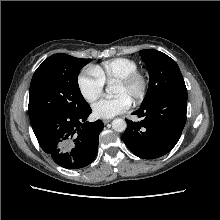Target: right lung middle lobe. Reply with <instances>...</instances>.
<instances>
[{
    "instance_id": "right-lung-middle-lobe-1",
    "label": "right lung middle lobe",
    "mask_w": 220,
    "mask_h": 220,
    "mask_svg": "<svg viewBox=\"0 0 220 220\" xmlns=\"http://www.w3.org/2000/svg\"><path fill=\"white\" fill-rule=\"evenodd\" d=\"M91 59L58 53L35 71L29 92L31 125L54 114H75L89 107L78 86V72Z\"/></svg>"
}]
</instances>
